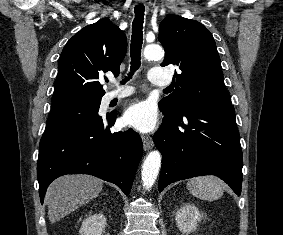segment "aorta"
<instances>
[{
  "label": "aorta",
  "instance_id": "1",
  "mask_svg": "<svg viewBox=\"0 0 283 235\" xmlns=\"http://www.w3.org/2000/svg\"><path fill=\"white\" fill-rule=\"evenodd\" d=\"M144 57L148 60H159L164 57V51L157 44L148 45L144 49ZM161 166V154L159 151H151L142 165L141 178L143 186L149 190L155 183Z\"/></svg>",
  "mask_w": 283,
  "mask_h": 235
}]
</instances>
